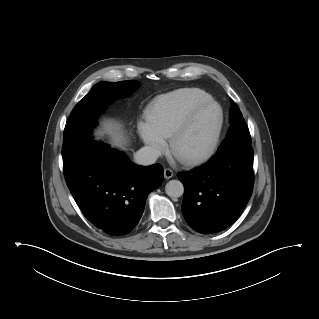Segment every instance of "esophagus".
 <instances>
[{"mask_svg": "<svg viewBox=\"0 0 319 319\" xmlns=\"http://www.w3.org/2000/svg\"><path fill=\"white\" fill-rule=\"evenodd\" d=\"M173 175H174V173H173V171L171 169H169V168L164 169V177L166 179L172 178Z\"/></svg>", "mask_w": 319, "mask_h": 319, "instance_id": "1", "label": "esophagus"}]
</instances>
